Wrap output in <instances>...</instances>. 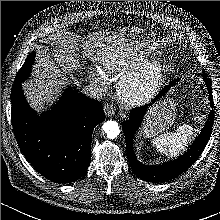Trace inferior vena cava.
Here are the masks:
<instances>
[{"label": "inferior vena cava", "mask_w": 220, "mask_h": 220, "mask_svg": "<svg viewBox=\"0 0 220 220\" xmlns=\"http://www.w3.org/2000/svg\"><path fill=\"white\" fill-rule=\"evenodd\" d=\"M82 93L96 100H100L103 97L102 88L96 84H90L84 86L82 89Z\"/></svg>", "instance_id": "602c4592"}]
</instances>
